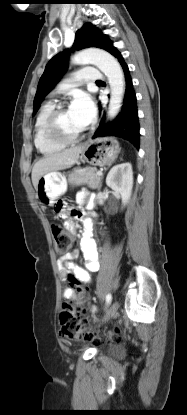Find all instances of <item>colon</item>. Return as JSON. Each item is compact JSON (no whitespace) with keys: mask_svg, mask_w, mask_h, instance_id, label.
Instances as JSON below:
<instances>
[{"mask_svg":"<svg viewBox=\"0 0 187 415\" xmlns=\"http://www.w3.org/2000/svg\"><path fill=\"white\" fill-rule=\"evenodd\" d=\"M61 207L64 203L60 204ZM52 234L55 241L56 253L60 256L66 255L73 247L74 237L60 224L52 225ZM71 283L79 293L84 291V284L71 277ZM84 307L75 308L72 304H64L60 313V336L69 339L85 338L88 340L105 341L110 339H119L121 330L114 328L105 332H92L84 323Z\"/></svg>","mask_w":187,"mask_h":415,"instance_id":"colon-1","label":"colon"}]
</instances>
